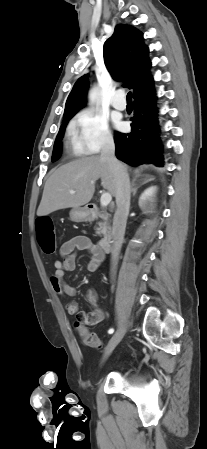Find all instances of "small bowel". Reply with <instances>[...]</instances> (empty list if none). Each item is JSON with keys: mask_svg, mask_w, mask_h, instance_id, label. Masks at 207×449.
Here are the masks:
<instances>
[{"mask_svg": "<svg viewBox=\"0 0 207 449\" xmlns=\"http://www.w3.org/2000/svg\"><path fill=\"white\" fill-rule=\"evenodd\" d=\"M78 251H84L88 254L86 267L90 272L97 271L104 261V253L87 236L78 235L64 242L60 248L61 259L55 260V271L51 278L52 288L59 295L74 296L76 294L75 287L66 282L65 276L67 272L76 268ZM86 299L92 306L90 312H79L78 304L75 301L66 304L67 312L71 315H77L87 325H96L103 322L107 314L98 306L99 296L96 290L88 289Z\"/></svg>", "mask_w": 207, "mask_h": 449, "instance_id": "small-bowel-1", "label": "small bowel"}]
</instances>
